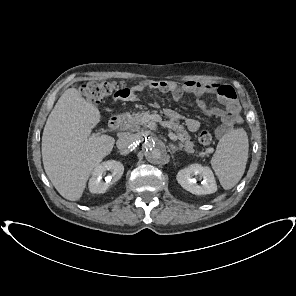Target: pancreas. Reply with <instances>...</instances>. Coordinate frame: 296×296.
<instances>
[{"label": "pancreas", "instance_id": "pancreas-1", "mask_svg": "<svg viewBox=\"0 0 296 296\" xmlns=\"http://www.w3.org/2000/svg\"><path fill=\"white\" fill-rule=\"evenodd\" d=\"M145 115H151L150 111H141L135 114L125 113L122 115V128L131 132L139 131L144 124L143 117ZM163 125L176 133L179 139V145L184 148L188 153L194 151V143L191 141V137L184 129L180 122L175 119L164 121Z\"/></svg>", "mask_w": 296, "mask_h": 296}]
</instances>
